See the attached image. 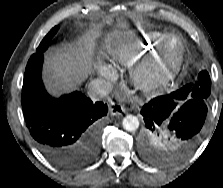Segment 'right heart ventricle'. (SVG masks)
Here are the masks:
<instances>
[{"instance_id":"1","label":"right heart ventricle","mask_w":223,"mask_h":188,"mask_svg":"<svg viewBox=\"0 0 223 188\" xmlns=\"http://www.w3.org/2000/svg\"><path fill=\"white\" fill-rule=\"evenodd\" d=\"M166 35V32L155 30L142 33L139 37L137 47L133 50L119 53L117 61L126 66L132 65L141 56L155 52Z\"/></svg>"}]
</instances>
